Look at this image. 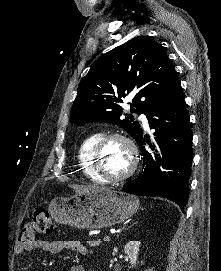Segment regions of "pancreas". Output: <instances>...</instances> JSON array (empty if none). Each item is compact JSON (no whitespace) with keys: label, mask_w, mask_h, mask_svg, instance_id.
I'll return each instance as SVG.
<instances>
[{"label":"pancreas","mask_w":221,"mask_h":271,"mask_svg":"<svg viewBox=\"0 0 221 271\" xmlns=\"http://www.w3.org/2000/svg\"><path fill=\"white\" fill-rule=\"evenodd\" d=\"M102 243V239H89V241H86L87 247H101Z\"/></svg>","instance_id":"pancreas-1"}]
</instances>
